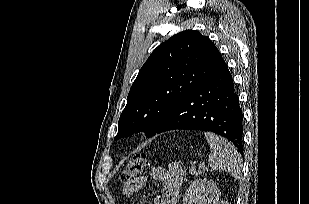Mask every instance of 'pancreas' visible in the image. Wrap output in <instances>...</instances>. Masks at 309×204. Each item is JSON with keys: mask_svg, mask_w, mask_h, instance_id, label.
Returning a JSON list of instances; mask_svg holds the SVG:
<instances>
[{"mask_svg": "<svg viewBox=\"0 0 309 204\" xmlns=\"http://www.w3.org/2000/svg\"><path fill=\"white\" fill-rule=\"evenodd\" d=\"M205 170L203 168H200L198 170H196L195 167H190L189 168V172L191 175H194V176H198V175H201Z\"/></svg>", "mask_w": 309, "mask_h": 204, "instance_id": "cf45deb5", "label": "pancreas"}]
</instances>
